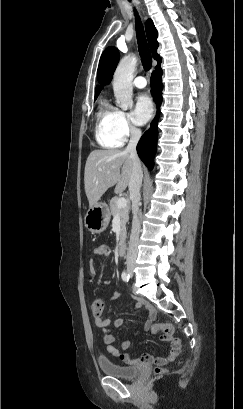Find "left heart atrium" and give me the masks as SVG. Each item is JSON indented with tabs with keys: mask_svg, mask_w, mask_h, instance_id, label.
<instances>
[{
	"mask_svg": "<svg viewBox=\"0 0 243 409\" xmlns=\"http://www.w3.org/2000/svg\"><path fill=\"white\" fill-rule=\"evenodd\" d=\"M153 113V105L150 97L141 93L135 99V105L132 111V119L135 124L143 125L149 121Z\"/></svg>",
	"mask_w": 243,
	"mask_h": 409,
	"instance_id": "obj_1",
	"label": "left heart atrium"
}]
</instances>
